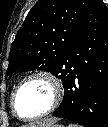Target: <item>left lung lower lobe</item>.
<instances>
[{
    "instance_id": "0a47b994",
    "label": "left lung lower lobe",
    "mask_w": 108,
    "mask_h": 127,
    "mask_svg": "<svg viewBox=\"0 0 108 127\" xmlns=\"http://www.w3.org/2000/svg\"><path fill=\"white\" fill-rule=\"evenodd\" d=\"M65 95L54 115L85 127H108V9L89 0L64 63Z\"/></svg>"
}]
</instances>
